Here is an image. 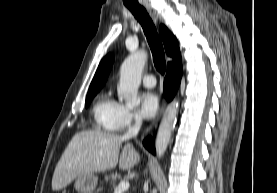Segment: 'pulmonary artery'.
I'll list each match as a JSON object with an SVG mask.
<instances>
[{"label": "pulmonary artery", "mask_w": 277, "mask_h": 193, "mask_svg": "<svg viewBox=\"0 0 277 193\" xmlns=\"http://www.w3.org/2000/svg\"><path fill=\"white\" fill-rule=\"evenodd\" d=\"M142 83L145 87L147 88H152L155 86L156 84V79L153 75L151 74H147V75H144L143 78H142Z\"/></svg>", "instance_id": "e3ab8cb5"}]
</instances>
